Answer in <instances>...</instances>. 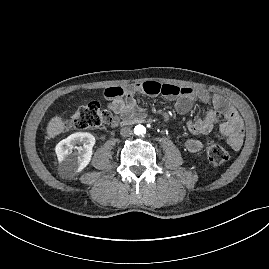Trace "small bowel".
<instances>
[{"mask_svg": "<svg viewBox=\"0 0 269 269\" xmlns=\"http://www.w3.org/2000/svg\"><path fill=\"white\" fill-rule=\"evenodd\" d=\"M145 93L152 96L164 95L176 100L178 113H187L195 102H201L206 107L203 117L187 123L188 130L194 135L210 133L217 125L220 133L232 149H239L243 141V122L238 112L220 95L211 94L205 89L178 87L170 84H160L155 81L135 83L127 88L109 87L104 94L108 100V108L114 113L113 124L119 120L141 117L142 110L138 106L134 94ZM222 120L219 122V118ZM185 148L196 153L202 150L203 144L197 139H187Z\"/></svg>", "mask_w": 269, "mask_h": 269, "instance_id": "1", "label": "small bowel"}]
</instances>
